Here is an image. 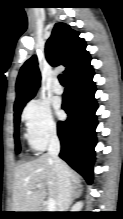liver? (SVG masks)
Instances as JSON below:
<instances>
[{
	"label": "liver",
	"mask_w": 123,
	"mask_h": 219,
	"mask_svg": "<svg viewBox=\"0 0 123 219\" xmlns=\"http://www.w3.org/2000/svg\"><path fill=\"white\" fill-rule=\"evenodd\" d=\"M72 185L80 184L81 177L68 165ZM41 185L40 188L37 185ZM31 191V194H27ZM46 196L57 202L58 178L54 161L48 154L16 167L13 185V210L17 212L38 211Z\"/></svg>",
	"instance_id": "obj_1"
}]
</instances>
